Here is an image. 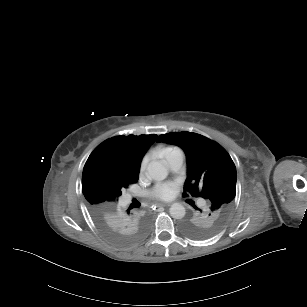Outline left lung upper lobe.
<instances>
[{"label": "left lung upper lobe", "instance_id": "5c2ea615", "mask_svg": "<svg viewBox=\"0 0 307 307\" xmlns=\"http://www.w3.org/2000/svg\"><path fill=\"white\" fill-rule=\"evenodd\" d=\"M157 142L176 144L184 150L188 165L184 189L188 194L183 195L208 201V206L200 210L187 200L199 212L183 221V233L192 238L212 235L225 222L228 204L236 193V168L231 157L219 144L196 133L163 134Z\"/></svg>", "mask_w": 307, "mask_h": 307}]
</instances>
